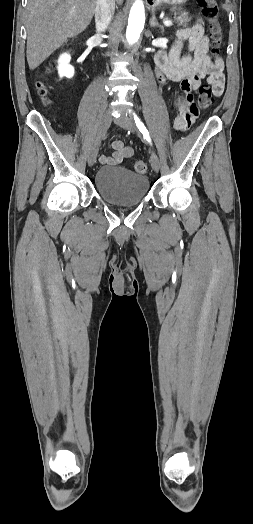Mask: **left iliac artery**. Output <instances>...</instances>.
I'll list each match as a JSON object with an SVG mask.
<instances>
[{"mask_svg":"<svg viewBox=\"0 0 253 524\" xmlns=\"http://www.w3.org/2000/svg\"><path fill=\"white\" fill-rule=\"evenodd\" d=\"M136 126L138 127L139 131L144 135V138L151 143V138L149 136V132L146 129L145 125L142 123V121L138 118L136 114L133 115Z\"/></svg>","mask_w":253,"mask_h":524,"instance_id":"obj_1","label":"left iliac artery"}]
</instances>
